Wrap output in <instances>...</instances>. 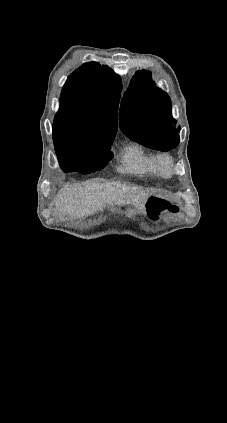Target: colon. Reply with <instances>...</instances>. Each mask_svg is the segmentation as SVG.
<instances>
[{"label": "colon", "instance_id": "obj_1", "mask_svg": "<svg viewBox=\"0 0 227 423\" xmlns=\"http://www.w3.org/2000/svg\"><path fill=\"white\" fill-rule=\"evenodd\" d=\"M147 209H148V212L151 215H155L158 212L165 210V209H169V210L173 211L174 207L170 206L165 198L158 196V195H153L149 198V201H148V204H147Z\"/></svg>", "mask_w": 227, "mask_h": 423}]
</instances>
